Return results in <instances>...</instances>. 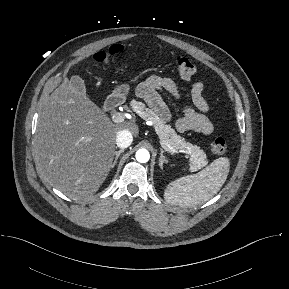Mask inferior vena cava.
<instances>
[{
  "label": "inferior vena cava",
  "mask_w": 289,
  "mask_h": 289,
  "mask_svg": "<svg viewBox=\"0 0 289 289\" xmlns=\"http://www.w3.org/2000/svg\"><path fill=\"white\" fill-rule=\"evenodd\" d=\"M133 141V136L128 130H120L116 136V145L119 148H127L131 145Z\"/></svg>",
  "instance_id": "1"
}]
</instances>
